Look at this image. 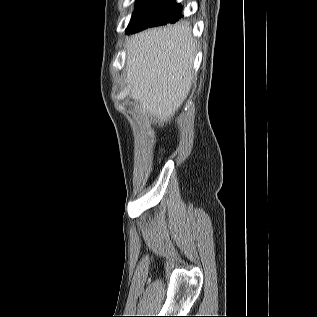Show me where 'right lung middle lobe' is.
Wrapping results in <instances>:
<instances>
[{
	"instance_id": "1",
	"label": "right lung middle lobe",
	"mask_w": 317,
	"mask_h": 317,
	"mask_svg": "<svg viewBox=\"0 0 317 317\" xmlns=\"http://www.w3.org/2000/svg\"><path fill=\"white\" fill-rule=\"evenodd\" d=\"M181 17V6L175 0H137L126 32L136 33L148 27L175 23Z\"/></svg>"
}]
</instances>
